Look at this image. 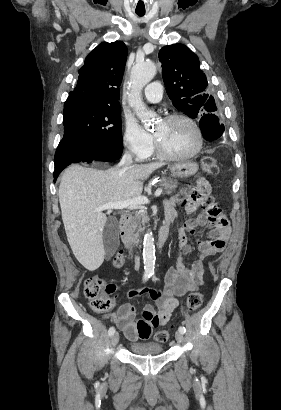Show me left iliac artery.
Masks as SVG:
<instances>
[{"label":"left iliac artery","instance_id":"left-iliac-artery-1","mask_svg":"<svg viewBox=\"0 0 281 410\" xmlns=\"http://www.w3.org/2000/svg\"><path fill=\"white\" fill-rule=\"evenodd\" d=\"M178 330H179L182 334H184V333L186 332V329H185V327H183V326H180Z\"/></svg>","mask_w":281,"mask_h":410}]
</instances>
